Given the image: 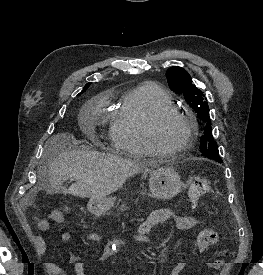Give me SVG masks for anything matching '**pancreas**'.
I'll return each mask as SVG.
<instances>
[{
    "label": "pancreas",
    "mask_w": 263,
    "mask_h": 275,
    "mask_svg": "<svg viewBox=\"0 0 263 275\" xmlns=\"http://www.w3.org/2000/svg\"><path fill=\"white\" fill-rule=\"evenodd\" d=\"M128 207L126 206V204H122L121 207H120V210H125L127 209Z\"/></svg>",
    "instance_id": "cf45deb5"
}]
</instances>
